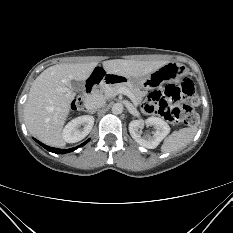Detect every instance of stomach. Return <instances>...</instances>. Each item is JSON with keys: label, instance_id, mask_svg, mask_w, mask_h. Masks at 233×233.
Returning a JSON list of instances; mask_svg holds the SVG:
<instances>
[{"label": "stomach", "instance_id": "1", "mask_svg": "<svg viewBox=\"0 0 233 233\" xmlns=\"http://www.w3.org/2000/svg\"><path fill=\"white\" fill-rule=\"evenodd\" d=\"M186 74L187 69L185 66L175 62H168L145 77L127 78L115 74V81L119 82L118 84H125L130 87L144 88L160 86L162 83L166 82L179 81Z\"/></svg>", "mask_w": 233, "mask_h": 233}]
</instances>
